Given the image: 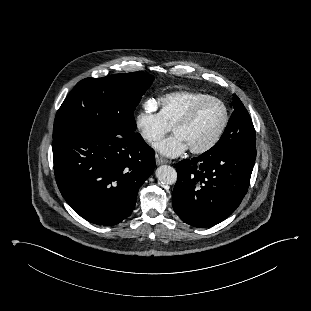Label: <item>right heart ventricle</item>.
Listing matches in <instances>:
<instances>
[{"label":"right heart ventricle","mask_w":311,"mask_h":311,"mask_svg":"<svg viewBox=\"0 0 311 311\" xmlns=\"http://www.w3.org/2000/svg\"><path fill=\"white\" fill-rule=\"evenodd\" d=\"M206 97L209 95L192 91H177L166 94L157 101L159 114L164 122L172 127L193 104Z\"/></svg>","instance_id":"1"}]
</instances>
